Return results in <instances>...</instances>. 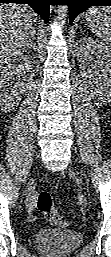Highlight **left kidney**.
Masks as SVG:
<instances>
[{"label": "left kidney", "instance_id": "1", "mask_svg": "<svg viewBox=\"0 0 111 257\" xmlns=\"http://www.w3.org/2000/svg\"><path fill=\"white\" fill-rule=\"evenodd\" d=\"M76 55L92 94L102 102H110L111 50L91 37H83L77 42Z\"/></svg>", "mask_w": 111, "mask_h": 257}]
</instances>
